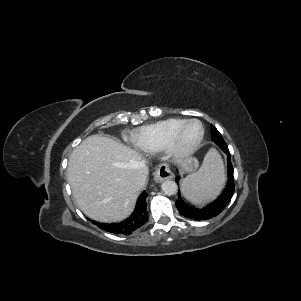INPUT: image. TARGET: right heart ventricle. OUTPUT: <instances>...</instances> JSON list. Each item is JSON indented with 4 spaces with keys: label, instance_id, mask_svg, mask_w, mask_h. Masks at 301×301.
I'll return each mask as SVG.
<instances>
[{
    "label": "right heart ventricle",
    "instance_id": "right-heart-ventricle-1",
    "mask_svg": "<svg viewBox=\"0 0 301 301\" xmlns=\"http://www.w3.org/2000/svg\"><path fill=\"white\" fill-rule=\"evenodd\" d=\"M186 121L170 118L143 126L134 132L132 142L143 152H160L165 149L170 138Z\"/></svg>",
    "mask_w": 301,
    "mask_h": 301
}]
</instances>
